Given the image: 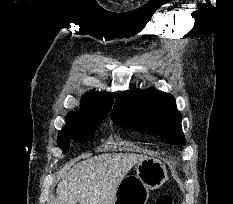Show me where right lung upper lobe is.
Masks as SVG:
<instances>
[{"instance_id": "cb5924a9", "label": "right lung upper lobe", "mask_w": 233, "mask_h": 204, "mask_svg": "<svg viewBox=\"0 0 233 204\" xmlns=\"http://www.w3.org/2000/svg\"><path fill=\"white\" fill-rule=\"evenodd\" d=\"M112 103L113 99L108 94L86 93L82 97L81 108L77 112H69L66 116V125L64 127L89 118L106 117Z\"/></svg>"}]
</instances>
